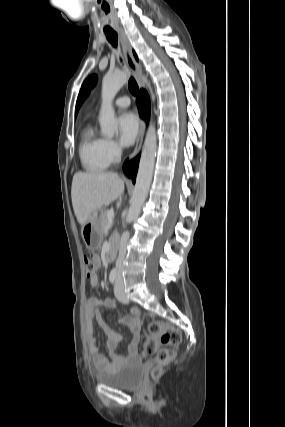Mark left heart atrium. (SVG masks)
<instances>
[{
  "label": "left heart atrium",
  "mask_w": 285,
  "mask_h": 427,
  "mask_svg": "<svg viewBox=\"0 0 285 427\" xmlns=\"http://www.w3.org/2000/svg\"><path fill=\"white\" fill-rule=\"evenodd\" d=\"M120 132V142L124 146H130L134 143L139 132V121L135 114L127 112L118 119Z\"/></svg>",
  "instance_id": "left-heart-atrium-1"
}]
</instances>
